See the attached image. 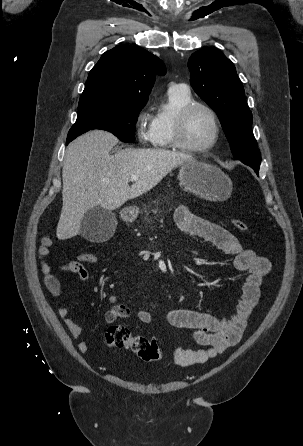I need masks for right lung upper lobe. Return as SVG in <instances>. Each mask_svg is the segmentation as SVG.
Wrapping results in <instances>:
<instances>
[{
  "mask_svg": "<svg viewBox=\"0 0 303 446\" xmlns=\"http://www.w3.org/2000/svg\"><path fill=\"white\" fill-rule=\"evenodd\" d=\"M164 63L140 47L120 45L106 51L89 73L79 106L122 104L145 106L155 75L163 76Z\"/></svg>",
  "mask_w": 303,
  "mask_h": 446,
  "instance_id": "obj_1",
  "label": "right lung upper lobe"
}]
</instances>
